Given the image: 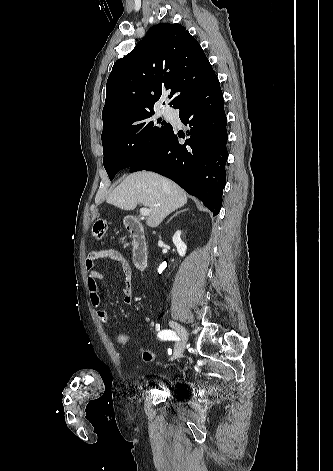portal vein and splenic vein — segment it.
<instances>
[{
  "label": "portal vein and splenic vein",
  "mask_w": 333,
  "mask_h": 471,
  "mask_svg": "<svg viewBox=\"0 0 333 471\" xmlns=\"http://www.w3.org/2000/svg\"><path fill=\"white\" fill-rule=\"evenodd\" d=\"M150 211H151L150 209L145 208V207L140 208V214H141L142 216H148L149 213H150Z\"/></svg>",
  "instance_id": "obj_1"
}]
</instances>
